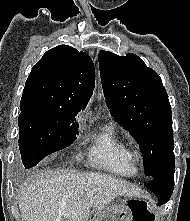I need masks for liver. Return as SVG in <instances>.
I'll return each instance as SVG.
<instances>
[{
  "instance_id": "1",
  "label": "liver",
  "mask_w": 190,
  "mask_h": 221,
  "mask_svg": "<svg viewBox=\"0 0 190 221\" xmlns=\"http://www.w3.org/2000/svg\"><path fill=\"white\" fill-rule=\"evenodd\" d=\"M93 192L92 197H86ZM137 189L113 176L70 170H42L19 195L21 221H86L118 196H139Z\"/></svg>"
}]
</instances>
